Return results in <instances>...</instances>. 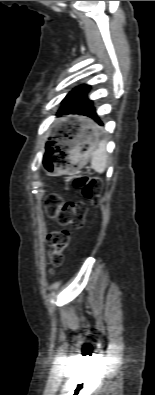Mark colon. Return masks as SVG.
Here are the masks:
<instances>
[{"label":"colon","instance_id":"1","mask_svg":"<svg viewBox=\"0 0 155 395\" xmlns=\"http://www.w3.org/2000/svg\"><path fill=\"white\" fill-rule=\"evenodd\" d=\"M74 186L81 190L83 196L96 201L101 191V181L96 177L80 176L74 180ZM44 209L48 217L56 219L62 226L80 228L84 223L87 206L84 202H65L55 193L44 198ZM50 246L49 260L53 266L62 263L63 252L69 247L70 233L67 230H56L48 234Z\"/></svg>","mask_w":155,"mask_h":395}]
</instances>
